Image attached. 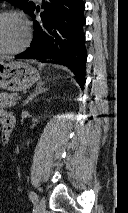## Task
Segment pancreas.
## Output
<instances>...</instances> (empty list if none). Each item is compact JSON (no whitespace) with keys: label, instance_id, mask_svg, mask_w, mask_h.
Returning a JSON list of instances; mask_svg holds the SVG:
<instances>
[{"label":"pancreas","instance_id":"1","mask_svg":"<svg viewBox=\"0 0 128 213\" xmlns=\"http://www.w3.org/2000/svg\"><path fill=\"white\" fill-rule=\"evenodd\" d=\"M18 95L16 93H0V108H10L16 105Z\"/></svg>","mask_w":128,"mask_h":213}]
</instances>
